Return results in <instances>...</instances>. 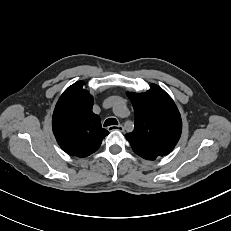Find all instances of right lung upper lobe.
I'll use <instances>...</instances> for the list:
<instances>
[{
	"label": "right lung upper lobe",
	"instance_id": "cb5924a9",
	"mask_svg": "<svg viewBox=\"0 0 231 231\" xmlns=\"http://www.w3.org/2000/svg\"><path fill=\"white\" fill-rule=\"evenodd\" d=\"M78 81L59 98L53 113V133L60 147L80 158L97 151L109 132L101 127L100 117L92 112L93 97Z\"/></svg>",
	"mask_w": 231,
	"mask_h": 231
}]
</instances>
